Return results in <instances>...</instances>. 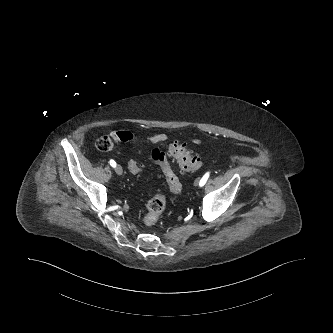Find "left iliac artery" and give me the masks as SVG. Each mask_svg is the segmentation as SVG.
Wrapping results in <instances>:
<instances>
[{
	"instance_id": "left-iliac-artery-1",
	"label": "left iliac artery",
	"mask_w": 333,
	"mask_h": 333,
	"mask_svg": "<svg viewBox=\"0 0 333 333\" xmlns=\"http://www.w3.org/2000/svg\"><path fill=\"white\" fill-rule=\"evenodd\" d=\"M209 172H207L203 177L202 179L200 180L199 182V186L202 187L205 185V183L207 182L208 178H209Z\"/></svg>"
}]
</instances>
